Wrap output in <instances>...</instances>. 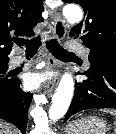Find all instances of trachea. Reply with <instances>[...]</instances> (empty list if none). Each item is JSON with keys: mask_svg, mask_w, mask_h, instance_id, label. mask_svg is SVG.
Segmentation results:
<instances>
[{"mask_svg": "<svg viewBox=\"0 0 116 134\" xmlns=\"http://www.w3.org/2000/svg\"><path fill=\"white\" fill-rule=\"evenodd\" d=\"M15 43L19 46H25L27 55H35L42 44L40 36L33 39H19L16 40ZM46 47L49 50V52L52 53V55L56 58L75 56L74 53H70L63 47H61L56 39H51L47 41Z\"/></svg>", "mask_w": 116, "mask_h": 134, "instance_id": "3493384b", "label": "trachea"}]
</instances>
